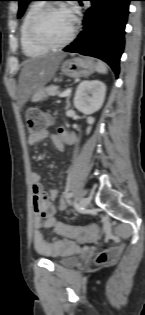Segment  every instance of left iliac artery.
<instances>
[{
  "label": "left iliac artery",
  "mask_w": 145,
  "mask_h": 315,
  "mask_svg": "<svg viewBox=\"0 0 145 315\" xmlns=\"http://www.w3.org/2000/svg\"><path fill=\"white\" fill-rule=\"evenodd\" d=\"M72 196H73V193H72V192H69V193H67V195H66L67 198H71Z\"/></svg>",
  "instance_id": "obj_1"
}]
</instances>
